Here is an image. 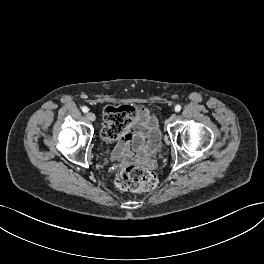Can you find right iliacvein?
<instances>
[{"label": "right iliac vein", "instance_id": "63e3f726", "mask_svg": "<svg viewBox=\"0 0 264 264\" xmlns=\"http://www.w3.org/2000/svg\"><path fill=\"white\" fill-rule=\"evenodd\" d=\"M86 117H87V119H88L89 121H91V122L95 121V119H96L95 114L92 113V112L87 113Z\"/></svg>", "mask_w": 264, "mask_h": 264}]
</instances>
